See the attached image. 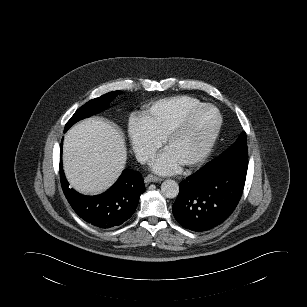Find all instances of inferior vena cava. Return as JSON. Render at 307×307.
I'll return each mask as SVG.
<instances>
[{"label":"inferior vena cava","mask_w":307,"mask_h":307,"mask_svg":"<svg viewBox=\"0 0 307 307\" xmlns=\"http://www.w3.org/2000/svg\"><path fill=\"white\" fill-rule=\"evenodd\" d=\"M153 159V155L151 154H147V153H138L137 154V160L140 162V163H148V162H151Z\"/></svg>","instance_id":"inferior-vena-cava-1"}]
</instances>
